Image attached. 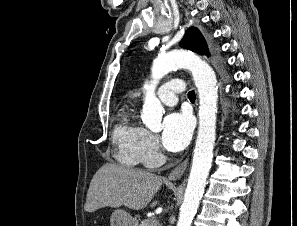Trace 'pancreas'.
Segmentation results:
<instances>
[{"label":"pancreas","instance_id":"pancreas-1","mask_svg":"<svg viewBox=\"0 0 297 226\" xmlns=\"http://www.w3.org/2000/svg\"><path fill=\"white\" fill-rule=\"evenodd\" d=\"M139 226H160L159 222L154 219H146Z\"/></svg>","mask_w":297,"mask_h":226}]
</instances>
